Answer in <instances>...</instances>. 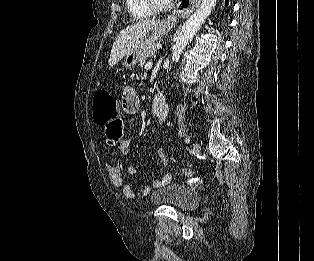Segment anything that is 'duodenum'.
I'll use <instances>...</instances> for the list:
<instances>
[{"mask_svg": "<svg viewBox=\"0 0 314 261\" xmlns=\"http://www.w3.org/2000/svg\"><path fill=\"white\" fill-rule=\"evenodd\" d=\"M168 108V102L162 95H156L151 104V111L153 115L159 120L166 114Z\"/></svg>", "mask_w": 314, "mask_h": 261, "instance_id": "410a0bca", "label": "duodenum"}]
</instances>
